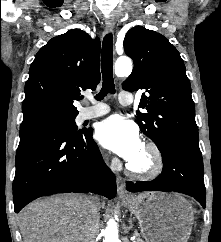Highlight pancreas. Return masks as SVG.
Returning <instances> with one entry per match:
<instances>
[{
  "instance_id": "pancreas-1",
  "label": "pancreas",
  "mask_w": 221,
  "mask_h": 242,
  "mask_svg": "<svg viewBox=\"0 0 221 242\" xmlns=\"http://www.w3.org/2000/svg\"><path fill=\"white\" fill-rule=\"evenodd\" d=\"M133 242H144V240L138 234H136V238Z\"/></svg>"
}]
</instances>
